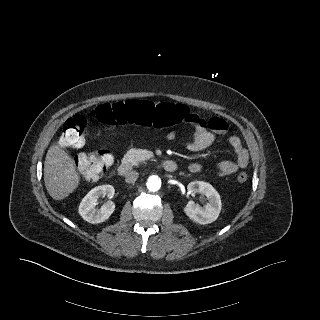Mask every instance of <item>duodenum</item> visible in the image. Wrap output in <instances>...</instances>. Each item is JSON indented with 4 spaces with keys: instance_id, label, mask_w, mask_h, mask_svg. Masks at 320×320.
I'll list each match as a JSON object with an SVG mask.
<instances>
[{
    "instance_id": "duodenum-1",
    "label": "duodenum",
    "mask_w": 320,
    "mask_h": 320,
    "mask_svg": "<svg viewBox=\"0 0 320 320\" xmlns=\"http://www.w3.org/2000/svg\"><path fill=\"white\" fill-rule=\"evenodd\" d=\"M161 168L168 172V173H173L177 170V164L173 160H164L161 162ZM131 170V165L127 161H123L120 163L118 166V173L121 176L127 175Z\"/></svg>"
}]
</instances>
